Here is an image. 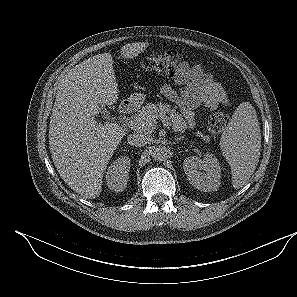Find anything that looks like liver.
<instances>
[{
  "instance_id": "obj_1",
  "label": "liver",
  "mask_w": 297,
  "mask_h": 297,
  "mask_svg": "<svg viewBox=\"0 0 297 297\" xmlns=\"http://www.w3.org/2000/svg\"><path fill=\"white\" fill-rule=\"evenodd\" d=\"M148 42L121 47V56L131 59ZM118 84L111 54L84 60L61 79L49 124V148L54 165L69 187L84 198L102 191L107 164L126 130L116 123H99L101 106L118 99Z\"/></svg>"
}]
</instances>
